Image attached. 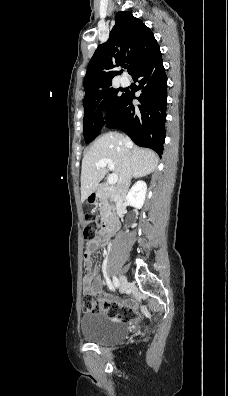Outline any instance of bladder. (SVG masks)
Listing matches in <instances>:
<instances>
[{"label": "bladder", "instance_id": "obj_1", "mask_svg": "<svg viewBox=\"0 0 228 396\" xmlns=\"http://www.w3.org/2000/svg\"><path fill=\"white\" fill-rule=\"evenodd\" d=\"M80 327L85 340L105 346L123 341L130 333L126 323L102 312L84 315Z\"/></svg>", "mask_w": 228, "mask_h": 396}]
</instances>
